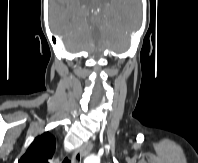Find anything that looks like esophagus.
Returning <instances> with one entry per match:
<instances>
[{
  "instance_id": "1",
  "label": "esophagus",
  "mask_w": 198,
  "mask_h": 163,
  "mask_svg": "<svg viewBox=\"0 0 198 163\" xmlns=\"http://www.w3.org/2000/svg\"><path fill=\"white\" fill-rule=\"evenodd\" d=\"M92 147H93V143H92V141H89L86 144H84L81 148L76 149L74 151V153L72 154L73 163H81V159L84 158L85 156H87L90 153ZM78 154H80V160L76 159V156Z\"/></svg>"
}]
</instances>
